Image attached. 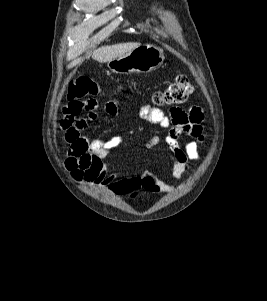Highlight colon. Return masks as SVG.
<instances>
[{"label": "colon", "mask_w": 267, "mask_h": 301, "mask_svg": "<svg viewBox=\"0 0 267 301\" xmlns=\"http://www.w3.org/2000/svg\"><path fill=\"white\" fill-rule=\"evenodd\" d=\"M102 92V87L93 79L81 76L69 84L68 100L95 97ZM193 87L185 76H179L166 89L157 91L152 96L156 105H179L188 99Z\"/></svg>", "instance_id": "obj_1"}]
</instances>
